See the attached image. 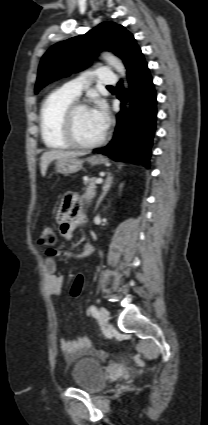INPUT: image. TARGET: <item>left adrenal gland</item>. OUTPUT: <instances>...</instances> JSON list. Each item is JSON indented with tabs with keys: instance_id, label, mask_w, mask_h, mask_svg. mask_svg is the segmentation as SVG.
<instances>
[{
	"instance_id": "a2214340",
	"label": "left adrenal gland",
	"mask_w": 208,
	"mask_h": 425,
	"mask_svg": "<svg viewBox=\"0 0 208 425\" xmlns=\"http://www.w3.org/2000/svg\"><path fill=\"white\" fill-rule=\"evenodd\" d=\"M112 184H113V176L111 175V173H109L107 175V178H106V180L104 182V185L102 187V193H101L100 197L98 198V201H97V204H96V207H95V211L98 209L101 201L106 196V194H107V192L110 189V187H111Z\"/></svg>"
}]
</instances>
